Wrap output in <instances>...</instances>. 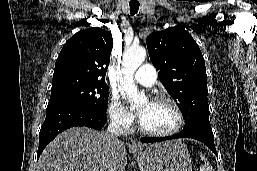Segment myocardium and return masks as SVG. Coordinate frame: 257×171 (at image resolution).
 Listing matches in <instances>:
<instances>
[{
	"mask_svg": "<svg viewBox=\"0 0 257 171\" xmlns=\"http://www.w3.org/2000/svg\"><path fill=\"white\" fill-rule=\"evenodd\" d=\"M152 102L169 104L176 113L177 122H176L175 126L169 130L155 131V130L146 128L141 123L140 118H138L137 124H138L139 130L144 134H147L150 136H155V137H168V136H172V135L178 133L184 125V115H183L181 108L177 104V102L174 99H172L171 97L164 96V95H159V96L154 97L152 99Z\"/></svg>",
	"mask_w": 257,
	"mask_h": 171,
	"instance_id": "1",
	"label": "myocardium"
}]
</instances>
